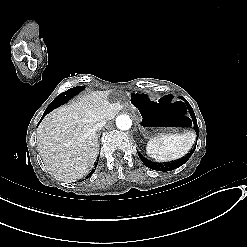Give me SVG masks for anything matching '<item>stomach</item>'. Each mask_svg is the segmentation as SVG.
<instances>
[{"label":"stomach","mask_w":247,"mask_h":247,"mask_svg":"<svg viewBox=\"0 0 247 247\" xmlns=\"http://www.w3.org/2000/svg\"><path fill=\"white\" fill-rule=\"evenodd\" d=\"M131 107L137 112L138 126L145 138L186 133L190 119L185 104L171 95L156 97L150 93L133 92Z\"/></svg>","instance_id":"0dacf381"}]
</instances>
